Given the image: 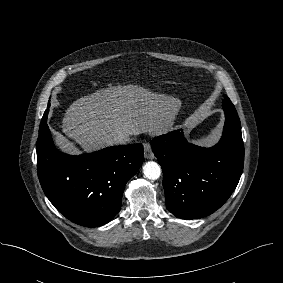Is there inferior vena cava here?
<instances>
[{
	"instance_id": "obj_1",
	"label": "inferior vena cava",
	"mask_w": 283,
	"mask_h": 283,
	"mask_svg": "<svg viewBox=\"0 0 283 283\" xmlns=\"http://www.w3.org/2000/svg\"><path fill=\"white\" fill-rule=\"evenodd\" d=\"M131 142V138L128 134H118L111 140L114 145H126Z\"/></svg>"
}]
</instances>
